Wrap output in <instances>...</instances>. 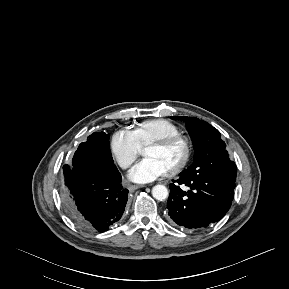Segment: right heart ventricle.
Wrapping results in <instances>:
<instances>
[{
	"instance_id": "e07e8e85",
	"label": "right heart ventricle",
	"mask_w": 289,
	"mask_h": 289,
	"mask_svg": "<svg viewBox=\"0 0 289 289\" xmlns=\"http://www.w3.org/2000/svg\"><path fill=\"white\" fill-rule=\"evenodd\" d=\"M140 146L168 136L180 134L179 128L165 119H151L138 123L132 130Z\"/></svg>"
}]
</instances>
